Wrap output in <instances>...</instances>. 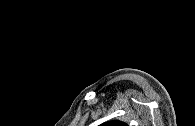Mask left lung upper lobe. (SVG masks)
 <instances>
[{"label":"left lung upper lobe","instance_id":"1","mask_svg":"<svg viewBox=\"0 0 195 126\" xmlns=\"http://www.w3.org/2000/svg\"><path fill=\"white\" fill-rule=\"evenodd\" d=\"M101 126H128V125L120 121H108L103 123Z\"/></svg>","mask_w":195,"mask_h":126}]
</instances>
